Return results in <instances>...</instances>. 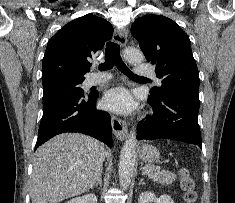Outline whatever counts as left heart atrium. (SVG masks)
Returning a JSON list of instances; mask_svg holds the SVG:
<instances>
[{
  "instance_id": "1",
  "label": "left heart atrium",
  "mask_w": 235,
  "mask_h": 203,
  "mask_svg": "<svg viewBox=\"0 0 235 203\" xmlns=\"http://www.w3.org/2000/svg\"><path fill=\"white\" fill-rule=\"evenodd\" d=\"M102 104L107 110L123 114L131 112L136 106L132 93L123 87L109 90L105 94Z\"/></svg>"
}]
</instances>
